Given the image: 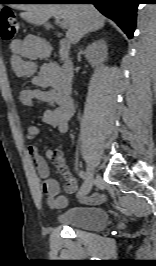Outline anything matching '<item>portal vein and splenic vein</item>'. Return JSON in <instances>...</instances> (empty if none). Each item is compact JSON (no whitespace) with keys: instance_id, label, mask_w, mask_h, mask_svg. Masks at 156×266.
<instances>
[{"instance_id":"18ae733b","label":"portal vein and splenic vein","mask_w":156,"mask_h":266,"mask_svg":"<svg viewBox=\"0 0 156 266\" xmlns=\"http://www.w3.org/2000/svg\"><path fill=\"white\" fill-rule=\"evenodd\" d=\"M56 21L58 22V24L60 25V27H62V28H64V29H66V28L68 27L66 21L61 20V19H59V18H57Z\"/></svg>"}]
</instances>
